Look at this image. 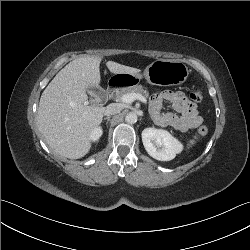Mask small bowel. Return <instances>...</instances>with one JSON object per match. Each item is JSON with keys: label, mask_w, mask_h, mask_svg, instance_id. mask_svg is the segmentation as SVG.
I'll list each match as a JSON object with an SVG mask.
<instances>
[{"label": "small bowel", "mask_w": 250, "mask_h": 250, "mask_svg": "<svg viewBox=\"0 0 250 250\" xmlns=\"http://www.w3.org/2000/svg\"><path fill=\"white\" fill-rule=\"evenodd\" d=\"M165 102L171 105L172 111H163ZM150 112L158 125L170 126L180 132L195 129L203 122L196 105L181 91L155 93L150 101Z\"/></svg>", "instance_id": "small-bowel-1"}]
</instances>
